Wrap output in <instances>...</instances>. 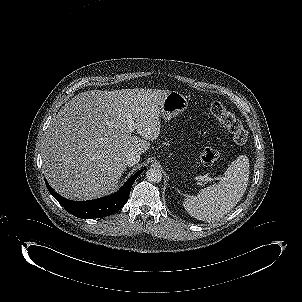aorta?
I'll use <instances>...</instances> for the list:
<instances>
[{
  "label": "aorta",
  "mask_w": 302,
  "mask_h": 302,
  "mask_svg": "<svg viewBox=\"0 0 302 302\" xmlns=\"http://www.w3.org/2000/svg\"><path fill=\"white\" fill-rule=\"evenodd\" d=\"M146 179L151 183H159L162 180V172L159 168H150L146 172Z\"/></svg>",
  "instance_id": "762f6f07"
}]
</instances>
